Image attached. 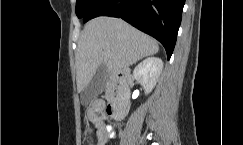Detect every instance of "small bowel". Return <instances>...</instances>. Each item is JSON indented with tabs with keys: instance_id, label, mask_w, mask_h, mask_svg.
<instances>
[{
	"instance_id": "obj_1",
	"label": "small bowel",
	"mask_w": 243,
	"mask_h": 145,
	"mask_svg": "<svg viewBox=\"0 0 243 145\" xmlns=\"http://www.w3.org/2000/svg\"><path fill=\"white\" fill-rule=\"evenodd\" d=\"M105 108V102L98 99L94 101L92 108L88 112L89 119L99 126L96 145H106L109 138H114L116 136L112 128L103 123L104 116L102 113Z\"/></svg>"
}]
</instances>
